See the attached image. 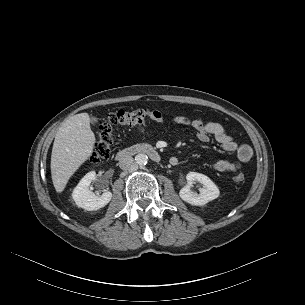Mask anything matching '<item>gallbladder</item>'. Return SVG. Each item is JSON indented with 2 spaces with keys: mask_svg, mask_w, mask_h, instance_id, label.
I'll list each match as a JSON object with an SVG mask.
<instances>
[{
  "mask_svg": "<svg viewBox=\"0 0 305 305\" xmlns=\"http://www.w3.org/2000/svg\"><path fill=\"white\" fill-rule=\"evenodd\" d=\"M90 120H91V123H92L93 125H95V124L98 122V118H96V117H94V116H92V117L90 118Z\"/></svg>",
  "mask_w": 305,
  "mask_h": 305,
  "instance_id": "gallbladder-1",
  "label": "gallbladder"
}]
</instances>
